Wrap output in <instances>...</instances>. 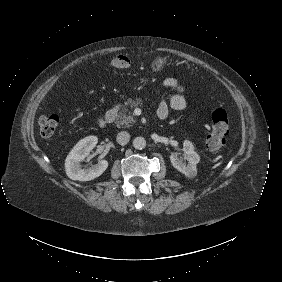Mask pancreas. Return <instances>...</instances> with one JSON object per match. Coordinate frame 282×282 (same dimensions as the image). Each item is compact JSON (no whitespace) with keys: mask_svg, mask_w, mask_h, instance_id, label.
<instances>
[{"mask_svg":"<svg viewBox=\"0 0 282 282\" xmlns=\"http://www.w3.org/2000/svg\"><path fill=\"white\" fill-rule=\"evenodd\" d=\"M140 102V99H137L136 101L129 99L125 105H122L120 107L119 116L115 121L118 128L130 127L131 125L136 123V118L134 117L132 112L127 108V106H130V108L132 109L134 107H137Z\"/></svg>","mask_w":282,"mask_h":282,"instance_id":"pancreas-1","label":"pancreas"}]
</instances>
